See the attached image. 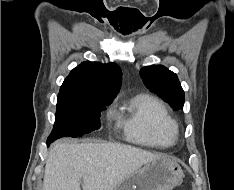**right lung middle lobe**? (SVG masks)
Returning <instances> with one entry per match:
<instances>
[{"instance_id":"dd1d6c3e","label":"right lung middle lobe","mask_w":234,"mask_h":190,"mask_svg":"<svg viewBox=\"0 0 234 190\" xmlns=\"http://www.w3.org/2000/svg\"><path fill=\"white\" fill-rule=\"evenodd\" d=\"M109 104L58 95L55 124L47 140L53 142L61 137H80L99 129L100 112Z\"/></svg>"}]
</instances>
